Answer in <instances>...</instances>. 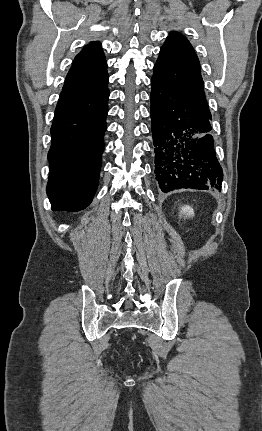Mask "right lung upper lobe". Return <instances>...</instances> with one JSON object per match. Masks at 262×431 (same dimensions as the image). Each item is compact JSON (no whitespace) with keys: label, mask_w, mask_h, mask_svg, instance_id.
<instances>
[{"label":"right lung upper lobe","mask_w":262,"mask_h":431,"mask_svg":"<svg viewBox=\"0 0 262 431\" xmlns=\"http://www.w3.org/2000/svg\"><path fill=\"white\" fill-rule=\"evenodd\" d=\"M106 68L102 47L96 42L90 43L75 57L62 91L89 92L107 87Z\"/></svg>","instance_id":"1"}]
</instances>
